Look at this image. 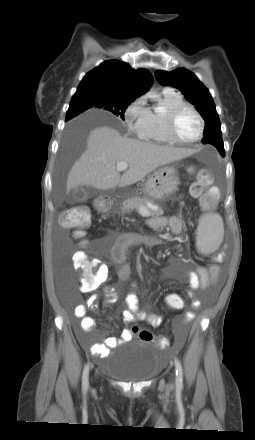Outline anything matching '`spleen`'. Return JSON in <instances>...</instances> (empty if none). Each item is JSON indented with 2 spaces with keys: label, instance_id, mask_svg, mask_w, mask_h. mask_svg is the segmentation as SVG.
I'll return each instance as SVG.
<instances>
[{
  "label": "spleen",
  "instance_id": "3e777b00",
  "mask_svg": "<svg viewBox=\"0 0 255 440\" xmlns=\"http://www.w3.org/2000/svg\"><path fill=\"white\" fill-rule=\"evenodd\" d=\"M196 235V246L199 252L210 254L217 250L224 235V226L220 215L209 213L201 216Z\"/></svg>",
  "mask_w": 255,
  "mask_h": 440
}]
</instances>
